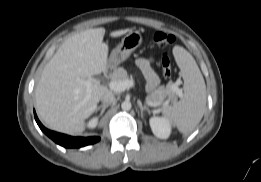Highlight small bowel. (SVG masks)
<instances>
[{
	"label": "small bowel",
	"mask_w": 261,
	"mask_h": 182,
	"mask_svg": "<svg viewBox=\"0 0 261 182\" xmlns=\"http://www.w3.org/2000/svg\"><path fill=\"white\" fill-rule=\"evenodd\" d=\"M136 64L146 79V89L152 93L159 85V78L152 68L153 59L139 58Z\"/></svg>",
	"instance_id": "1"
}]
</instances>
